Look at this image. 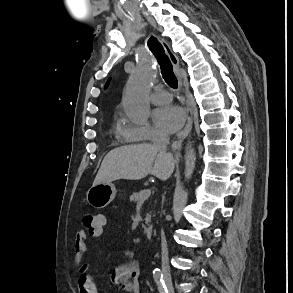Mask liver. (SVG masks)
<instances>
[{
    "label": "liver",
    "instance_id": "liver-1",
    "mask_svg": "<svg viewBox=\"0 0 293 293\" xmlns=\"http://www.w3.org/2000/svg\"><path fill=\"white\" fill-rule=\"evenodd\" d=\"M174 166L172 155L160 153L152 144L122 146L105 156L93 186L119 179L140 180L148 174L166 180L173 173Z\"/></svg>",
    "mask_w": 293,
    "mask_h": 293
}]
</instances>
